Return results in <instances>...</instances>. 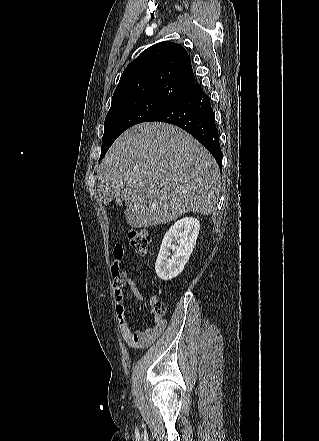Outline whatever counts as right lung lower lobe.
I'll return each mask as SVG.
<instances>
[{"mask_svg":"<svg viewBox=\"0 0 319 441\" xmlns=\"http://www.w3.org/2000/svg\"><path fill=\"white\" fill-rule=\"evenodd\" d=\"M148 121L166 122L184 129L207 148L220 166L222 154L214 112L210 98L198 83H193Z\"/></svg>","mask_w":319,"mask_h":441,"instance_id":"right-lung-lower-lobe-1","label":"right lung lower lobe"}]
</instances>
